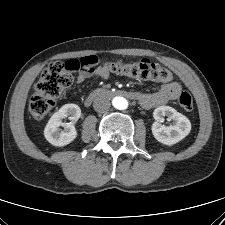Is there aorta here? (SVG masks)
I'll return each instance as SVG.
<instances>
[{"instance_id": "1", "label": "aorta", "mask_w": 225, "mask_h": 225, "mask_svg": "<svg viewBox=\"0 0 225 225\" xmlns=\"http://www.w3.org/2000/svg\"><path fill=\"white\" fill-rule=\"evenodd\" d=\"M116 109L124 110L128 107V101L124 97H115L112 101Z\"/></svg>"}]
</instances>
